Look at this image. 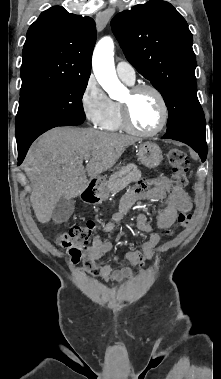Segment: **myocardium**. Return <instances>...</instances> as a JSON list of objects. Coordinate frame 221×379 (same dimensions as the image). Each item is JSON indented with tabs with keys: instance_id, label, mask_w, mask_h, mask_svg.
I'll return each mask as SVG.
<instances>
[{
	"instance_id": "f54148a6",
	"label": "myocardium",
	"mask_w": 221,
	"mask_h": 379,
	"mask_svg": "<svg viewBox=\"0 0 221 379\" xmlns=\"http://www.w3.org/2000/svg\"><path fill=\"white\" fill-rule=\"evenodd\" d=\"M144 91H149L153 93L159 102L161 115H160V121L157 127L149 131H143V130L138 129L132 121L131 113H130V105L127 101L120 102L121 118H122L123 127L127 131L138 136L151 137V136H155L159 134L165 128L168 122L169 110H168L167 102L164 95L158 88H156L153 85H150V84L134 85L129 89V94L131 97H133Z\"/></svg>"
}]
</instances>
